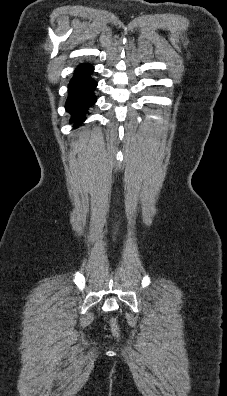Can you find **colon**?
<instances>
[{
    "instance_id": "colon-1",
    "label": "colon",
    "mask_w": 227,
    "mask_h": 396,
    "mask_svg": "<svg viewBox=\"0 0 227 396\" xmlns=\"http://www.w3.org/2000/svg\"><path fill=\"white\" fill-rule=\"evenodd\" d=\"M111 330L114 335H119V325L116 319L111 320Z\"/></svg>"
}]
</instances>
